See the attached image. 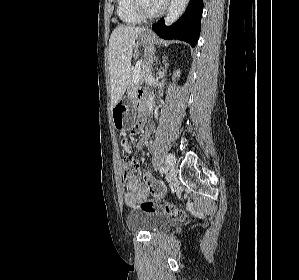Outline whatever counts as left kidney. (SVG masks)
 <instances>
[{"label":"left kidney","mask_w":299,"mask_h":280,"mask_svg":"<svg viewBox=\"0 0 299 280\" xmlns=\"http://www.w3.org/2000/svg\"><path fill=\"white\" fill-rule=\"evenodd\" d=\"M176 73H177V74H176ZM176 73H175V76H179L180 71L178 70Z\"/></svg>","instance_id":"5707ae66"}]
</instances>
